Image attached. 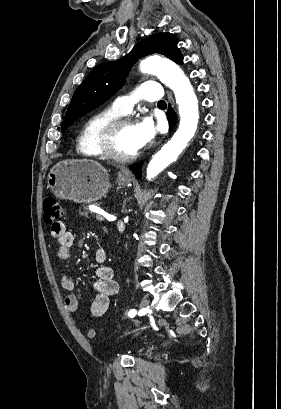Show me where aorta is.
Wrapping results in <instances>:
<instances>
[{"label":"aorta","instance_id":"762f6f07","mask_svg":"<svg viewBox=\"0 0 281 409\" xmlns=\"http://www.w3.org/2000/svg\"><path fill=\"white\" fill-rule=\"evenodd\" d=\"M140 70L156 75L173 90L180 114L179 128L148 164L147 179L151 180L174 162L193 138L199 121V110L198 100L189 79L175 63L153 56L140 63Z\"/></svg>","mask_w":281,"mask_h":409}]
</instances>
